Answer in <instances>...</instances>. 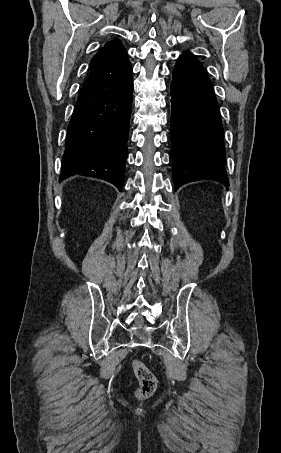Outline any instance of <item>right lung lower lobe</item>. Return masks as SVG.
Masks as SVG:
<instances>
[{
	"label": "right lung lower lobe",
	"instance_id": "right-lung-lower-lobe-1",
	"mask_svg": "<svg viewBox=\"0 0 281 453\" xmlns=\"http://www.w3.org/2000/svg\"><path fill=\"white\" fill-rule=\"evenodd\" d=\"M132 90L126 51L90 72L67 128L59 182L79 174L122 189Z\"/></svg>",
	"mask_w": 281,
	"mask_h": 453
}]
</instances>
